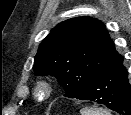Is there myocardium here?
<instances>
[{
	"label": "myocardium",
	"instance_id": "obj_1",
	"mask_svg": "<svg viewBox=\"0 0 131 115\" xmlns=\"http://www.w3.org/2000/svg\"><path fill=\"white\" fill-rule=\"evenodd\" d=\"M52 92V86L49 81L45 79L39 80L34 88L35 96L42 95L44 99H47Z\"/></svg>",
	"mask_w": 131,
	"mask_h": 115
}]
</instances>
